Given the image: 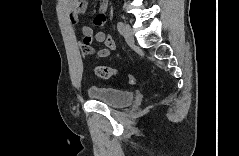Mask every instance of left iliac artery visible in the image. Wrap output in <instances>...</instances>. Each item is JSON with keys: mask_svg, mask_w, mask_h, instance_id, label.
I'll use <instances>...</instances> for the list:
<instances>
[{"mask_svg": "<svg viewBox=\"0 0 239 156\" xmlns=\"http://www.w3.org/2000/svg\"><path fill=\"white\" fill-rule=\"evenodd\" d=\"M117 29H118V31L122 34L123 33V30H124V24H123V22H118L117 23Z\"/></svg>", "mask_w": 239, "mask_h": 156, "instance_id": "left-iliac-artery-1", "label": "left iliac artery"}]
</instances>
